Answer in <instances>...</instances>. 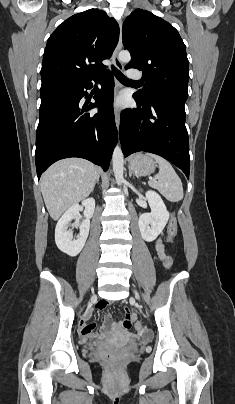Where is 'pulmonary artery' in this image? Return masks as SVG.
I'll list each match as a JSON object with an SVG mask.
<instances>
[{
	"instance_id": "e3ab8cb5",
	"label": "pulmonary artery",
	"mask_w": 235,
	"mask_h": 404,
	"mask_svg": "<svg viewBox=\"0 0 235 404\" xmlns=\"http://www.w3.org/2000/svg\"><path fill=\"white\" fill-rule=\"evenodd\" d=\"M128 76L132 80H139L141 78V72L134 68H131L128 70Z\"/></svg>"
}]
</instances>
